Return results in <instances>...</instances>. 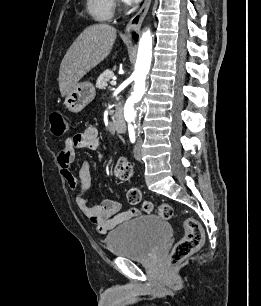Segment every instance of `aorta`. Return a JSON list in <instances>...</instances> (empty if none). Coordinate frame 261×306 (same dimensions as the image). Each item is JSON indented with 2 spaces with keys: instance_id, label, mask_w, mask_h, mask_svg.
<instances>
[{
  "instance_id": "aorta-1",
  "label": "aorta",
  "mask_w": 261,
  "mask_h": 306,
  "mask_svg": "<svg viewBox=\"0 0 261 306\" xmlns=\"http://www.w3.org/2000/svg\"><path fill=\"white\" fill-rule=\"evenodd\" d=\"M152 60V37L150 30L143 33L139 40L138 54L135 65L134 91L128 97L124 106V117L128 123H137L139 103L145 93V80Z\"/></svg>"
}]
</instances>
